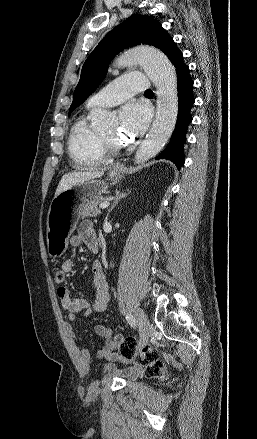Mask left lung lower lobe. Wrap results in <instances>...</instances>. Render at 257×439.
I'll use <instances>...</instances> for the list:
<instances>
[{
  "label": "left lung lower lobe",
  "instance_id": "left-lung-lower-lobe-1",
  "mask_svg": "<svg viewBox=\"0 0 257 439\" xmlns=\"http://www.w3.org/2000/svg\"><path fill=\"white\" fill-rule=\"evenodd\" d=\"M166 55L176 68L179 109L171 140L156 159H168L180 169L185 159L183 147L186 142L188 125L192 121L190 111L195 102L192 92L193 81L189 75L188 66L183 62V55L174 41L169 45Z\"/></svg>",
  "mask_w": 257,
  "mask_h": 439
}]
</instances>
